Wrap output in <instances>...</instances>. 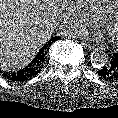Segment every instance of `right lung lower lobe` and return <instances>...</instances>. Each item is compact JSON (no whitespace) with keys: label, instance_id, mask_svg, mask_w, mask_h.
Listing matches in <instances>:
<instances>
[{"label":"right lung lower lobe","instance_id":"obj_1","mask_svg":"<svg viewBox=\"0 0 118 118\" xmlns=\"http://www.w3.org/2000/svg\"><path fill=\"white\" fill-rule=\"evenodd\" d=\"M57 39H60V37L52 38L50 41L57 40ZM48 45H49V42H48L47 46ZM42 48L40 49V51L38 52L36 57L32 60V62L29 63L25 68H23L17 72H14V73L5 72L2 74L3 77H5L9 80H12V81L22 82V81L31 79L32 77L36 76L40 72V70L43 68V64L45 61L46 47L44 50H42Z\"/></svg>","mask_w":118,"mask_h":118}]
</instances>
